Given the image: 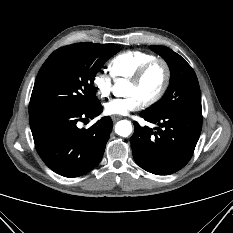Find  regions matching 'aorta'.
Wrapping results in <instances>:
<instances>
[{"label": "aorta", "mask_w": 233, "mask_h": 233, "mask_svg": "<svg viewBox=\"0 0 233 233\" xmlns=\"http://www.w3.org/2000/svg\"><path fill=\"white\" fill-rule=\"evenodd\" d=\"M127 82L125 79H119L116 83V90H121L122 86ZM115 132L122 137H128L132 132L131 122L128 120H121L115 126Z\"/></svg>", "instance_id": "762f6f07"}]
</instances>
